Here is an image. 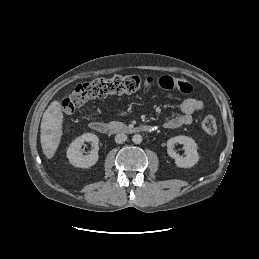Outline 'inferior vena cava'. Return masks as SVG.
Returning <instances> with one entry per match:
<instances>
[{
	"mask_svg": "<svg viewBox=\"0 0 259 259\" xmlns=\"http://www.w3.org/2000/svg\"><path fill=\"white\" fill-rule=\"evenodd\" d=\"M126 140H127V135L124 134V133H118V134L115 136V142H116L117 144L124 143Z\"/></svg>",
	"mask_w": 259,
	"mask_h": 259,
	"instance_id": "inferior-vena-cava-1",
	"label": "inferior vena cava"
}]
</instances>
